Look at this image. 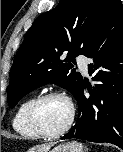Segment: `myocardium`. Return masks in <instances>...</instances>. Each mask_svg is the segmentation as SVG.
I'll return each instance as SVG.
<instances>
[{"instance_id":"obj_1","label":"myocardium","mask_w":123,"mask_h":152,"mask_svg":"<svg viewBox=\"0 0 123 152\" xmlns=\"http://www.w3.org/2000/svg\"><path fill=\"white\" fill-rule=\"evenodd\" d=\"M52 98H59L67 102L70 108V115L67 123L63 128H61L58 131L55 132H48L43 129V127L39 123L38 115H39V110L41 105ZM75 107L73 105V102L71 99L64 93L57 92V91H51L45 94L40 95L37 97L34 102L31 104L28 115H27V120L28 124L31 127V129L40 137L43 138H57L62 135H64L72 126L74 120H75Z\"/></svg>"}]
</instances>
